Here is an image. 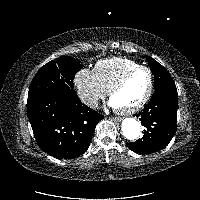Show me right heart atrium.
<instances>
[{"mask_svg": "<svg viewBox=\"0 0 200 200\" xmlns=\"http://www.w3.org/2000/svg\"><path fill=\"white\" fill-rule=\"evenodd\" d=\"M73 84L79 99L89 108H96L107 93L106 88L99 82L95 71L90 68L79 69L74 77Z\"/></svg>", "mask_w": 200, "mask_h": 200, "instance_id": "obj_1", "label": "right heart atrium"}]
</instances>
